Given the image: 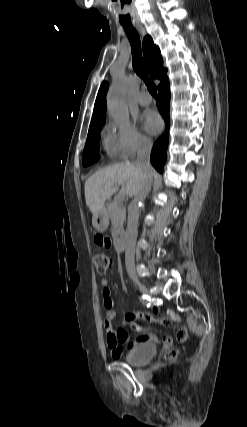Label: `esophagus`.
I'll return each instance as SVG.
<instances>
[{
    "label": "esophagus",
    "mask_w": 247,
    "mask_h": 427,
    "mask_svg": "<svg viewBox=\"0 0 247 427\" xmlns=\"http://www.w3.org/2000/svg\"><path fill=\"white\" fill-rule=\"evenodd\" d=\"M138 31L144 36L145 35V30L141 25L137 26Z\"/></svg>",
    "instance_id": "esophagus-1"
}]
</instances>
